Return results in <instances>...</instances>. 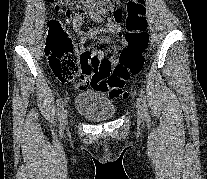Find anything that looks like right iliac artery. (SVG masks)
Wrapping results in <instances>:
<instances>
[{"mask_svg": "<svg viewBox=\"0 0 207 179\" xmlns=\"http://www.w3.org/2000/svg\"><path fill=\"white\" fill-rule=\"evenodd\" d=\"M63 110H64V104L61 98H59L57 100V112H58V120L60 121V125H61V119H62V114H63Z\"/></svg>", "mask_w": 207, "mask_h": 179, "instance_id": "right-iliac-artery-1", "label": "right iliac artery"}]
</instances>
